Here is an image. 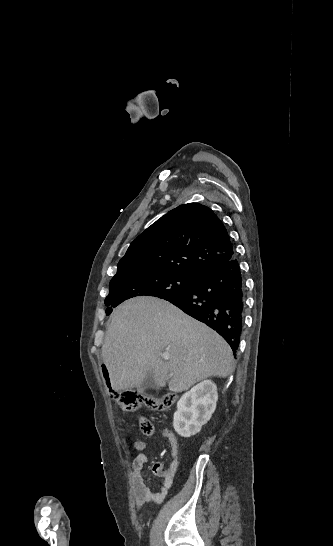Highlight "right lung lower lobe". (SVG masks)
<instances>
[{
  "label": "right lung lower lobe",
  "mask_w": 333,
  "mask_h": 546,
  "mask_svg": "<svg viewBox=\"0 0 333 546\" xmlns=\"http://www.w3.org/2000/svg\"><path fill=\"white\" fill-rule=\"evenodd\" d=\"M244 292L241 270L234 256L200 275L189 291L164 299L217 331L235 354L244 321Z\"/></svg>",
  "instance_id": "98d812e1"
}]
</instances>
